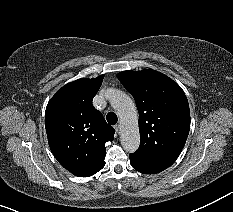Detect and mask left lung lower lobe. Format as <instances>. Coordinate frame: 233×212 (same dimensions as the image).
<instances>
[{"label": "left lung lower lobe", "instance_id": "0a47b994", "mask_svg": "<svg viewBox=\"0 0 233 212\" xmlns=\"http://www.w3.org/2000/svg\"><path fill=\"white\" fill-rule=\"evenodd\" d=\"M129 158H130V164L132 165V167L136 169L137 171L144 173V174H155L168 168L167 166L154 163L135 153L130 154Z\"/></svg>", "mask_w": 233, "mask_h": 212}]
</instances>
